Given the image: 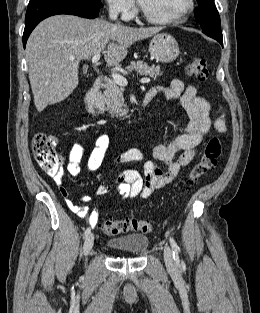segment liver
Returning <instances> with one entry per match:
<instances>
[{"label": "liver", "instance_id": "liver-1", "mask_svg": "<svg viewBox=\"0 0 260 313\" xmlns=\"http://www.w3.org/2000/svg\"><path fill=\"white\" fill-rule=\"evenodd\" d=\"M161 29L132 28L104 19L72 15H55L43 20L26 45L29 80L37 111L63 101L73 92L79 83L81 60L103 51L108 65H118L133 43Z\"/></svg>", "mask_w": 260, "mask_h": 313}]
</instances>
